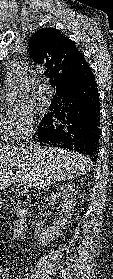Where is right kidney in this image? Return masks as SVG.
<instances>
[{
  "label": "right kidney",
  "instance_id": "right-kidney-1",
  "mask_svg": "<svg viewBox=\"0 0 113 279\" xmlns=\"http://www.w3.org/2000/svg\"><path fill=\"white\" fill-rule=\"evenodd\" d=\"M76 191L72 186L61 187L49 196L51 205L62 199L63 203L58 206V217L54 219L51 228L45 227L42 223H37L35 226V235L40 245L45 246L50 241H54L65 229L67 223L71 219L72 209L75 205Z\"/></svg>",
  "mask_w": 113,
  "mask_h": 279
}]
</instances>
